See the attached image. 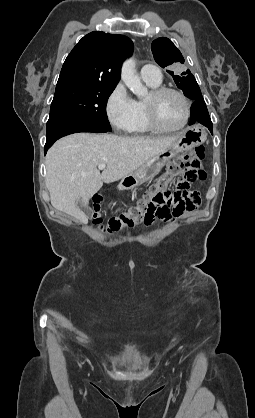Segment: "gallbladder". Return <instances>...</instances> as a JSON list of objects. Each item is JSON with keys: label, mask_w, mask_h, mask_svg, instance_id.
I'll return each instance as SVG.
<instances>
[{"label": "gallbladder", "mask_w": 255, "mask_h": 418, "mask_svg": "<svg viewBox=\"0 0 255 418\" xmlns=\"http://www.w3.org/2000/svg\"><path fill=\"white\" fill-rule=\"evenodd\" d=\"M77 207H79L84 213H85V215L87 216V217H90L91 215H92V211H91V209H89V208H87V207H85L83 204H82V201L81 200H78L77 201Z\"/></svg>", "instance_id": "obj_1"}]
</instances>
